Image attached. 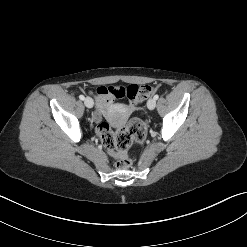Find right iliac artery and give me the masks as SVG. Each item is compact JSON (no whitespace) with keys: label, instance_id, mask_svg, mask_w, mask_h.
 <instances>
[{"label":"right iliac artery","instance_id":"right-iliac-artery-1","mask_svg":"<svg viewBox=\"0 0 247 247\" xmlns=\"http://www.w3.org/2000/svg\"><path fill=\"white\" fill-rule=\"evenodd\" d=\"M79 99H80V100H84L85 97H84L83 95H80V96H79Z\"/></svg>","mask_w":247,"mask_h":247}]
</instances>
